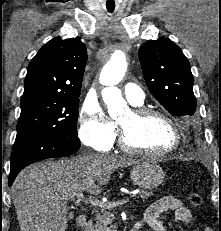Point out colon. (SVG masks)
<instances>
[{
	"label": "colon",
	"mask_w": 221,
	"mask_h": 231,
	"mask_svg": "<svg viewBox=\"0 0 221 231\" xmlns=\"http://www.w3.org/2000/svg\"><path fill=\"white\" fill-rule=\"evenodd\" d=\"M189 202L194 207H199L202 205V197L196 192H190L188 195Z\"/></svg>",
	"instance_id": "obj_1"
}]
</instances>
